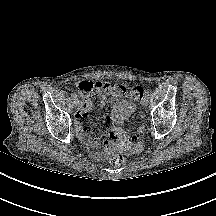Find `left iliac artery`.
<instances>
[{"instance_id":"1","label":"left iliac artery","mask_w":216,"mask_h":216,"mask_svg":"<svg viewBox=\"0 0 216 216\" xmlns=\"http://www.w3.org/2000/svg\"><path fill=\"white\" fill-rule=\"evenodd\" d=\"M148 96H150V92L149 91L146 92V97H148Z\"/></svg>"}]
</instances>
